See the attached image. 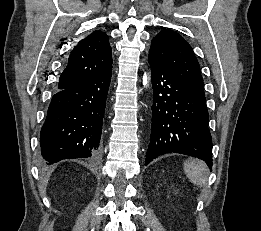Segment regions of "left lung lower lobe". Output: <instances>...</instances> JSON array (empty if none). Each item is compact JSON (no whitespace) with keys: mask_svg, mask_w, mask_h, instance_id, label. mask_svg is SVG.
Here are the masks:
<instances>
[{"mask_svg":"<svg viewBox=\"0 0 261 231\" xmlns=\"http://www.w3.org/2000/svg\"><path fill=\"white\" fill-rule=\"evenodd\" d=\"M154 100L145 165L166 153L204 160L212 167V138L205 95L199 94L148 58Z\"/></svg>","mask_w":261,"mask_h":231,"instance_id":"0a47b994","label":"left lung lower lobe"}]
</instances>
